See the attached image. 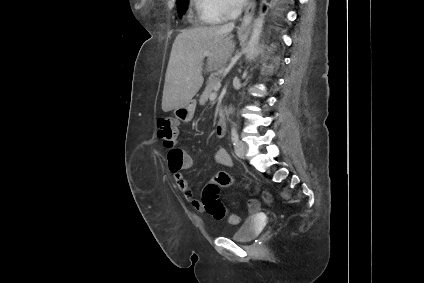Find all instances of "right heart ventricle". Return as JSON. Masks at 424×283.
Returning a JSON list of instances; mask_svg holds the SVG:
<instances>
[{
    "mask_svg": "<svg viewBox=\"0 0 424 283\" xmlns=\"http://www.w3.org/2000/svg\"><path fill=\"white\" fill-rule=\"evenodd\" d=\"M207 21L210 22V23H212V22H215L216 20L210 19V20H207Z\"/></svg>",
    "mask_w": 424,
    "mask_h": 283,
    "instance_id": "obj_1",
    "label": "right heart ventricle"
}]
</instances>
